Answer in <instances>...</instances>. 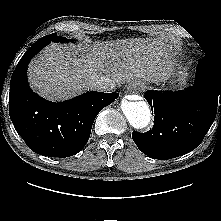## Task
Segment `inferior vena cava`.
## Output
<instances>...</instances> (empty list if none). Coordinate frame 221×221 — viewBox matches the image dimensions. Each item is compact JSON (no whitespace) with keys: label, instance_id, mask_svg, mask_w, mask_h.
Here are the masks:
<instances>
[{"label":"inferior vena cava","instance_id":"inferior-vena-cava-1","mask_svg":"<svg viewBox=\"0 0 221 221\" xmlns=\"http://www.w3.org/2000/svg\"><path fill=\"white\" fill-rule=\"evenodd\" d=\"M90 88L96 91H111L115 87V83L108 77H100L90 82Z\"/></svg>","mask_w":221,"mask_h":221}]
</instances>
